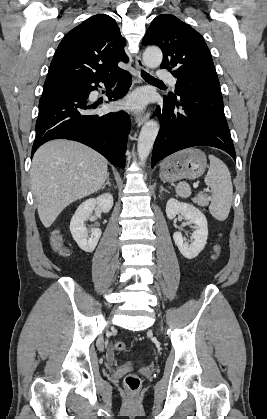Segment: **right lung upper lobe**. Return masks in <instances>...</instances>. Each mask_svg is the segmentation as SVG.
I'll list each match as a JSON object with an SVG mask.
<instances>
[{"instance_id": "cb5924a9", "label": "right lung upper lobe", "mask_w": 267, "mask_h": 419, "mask_svg": "<svg viewBox=\"0 0 267 419\" xmlns=\"http://www.w3.org/2000/svg\"><path fill=\"white\" fill-rule=\"evenodd\" d=\"M125 39L115 20L97 14L69 31L51 62L46 83H72L102 79L122 69L127 62Z\"/></svg>"}]
</instances>
